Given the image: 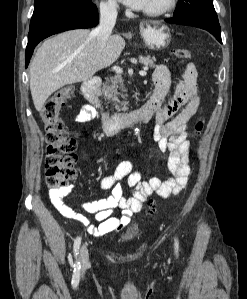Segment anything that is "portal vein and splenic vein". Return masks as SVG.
I'll use <instances>...</instances> for the list:
<instances>
[{
    "mask_svg": "<svg viewBox=\"0 0 247 299\" xmlns=\"http://www.w3.org/2000/svg\"><path fill=\"white\" fill-rule=\"evenodd\" d=\"M113 70H114L116 73H122V72H123L122 69H121L119 66H114V67H113ZM146 70H147V68H144V70H141V71L139 72V74H140L141 76H146V74H147Z\"/></svg>",
    "mask_w": 247,
    "mask_h": 299,
    "instance_id": "obj_1",
    "label": "portal vein and splenic vein"
}]
</instances>
